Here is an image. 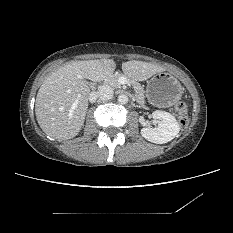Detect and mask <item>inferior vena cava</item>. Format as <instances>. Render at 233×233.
<instances>
[{
	"mask_svg": "<svg viewBox=\"0 0 233 233\" xmlns=\"http://www.w3.org/2000/svg\"><path fill=\"white\" fill-rule=\"evenodd\" d=\"M95 96L101 100H110L113 97V90L111 87L107 85H102L98 88L97 92L95 93ZM91 101H94V99H90Z\"/></svg>",
	"mask_w": 233,
	"mask_h": 233,
	"instance_id": "602c4592",
	"label": "inferior vena cava"
}]
</instances>
